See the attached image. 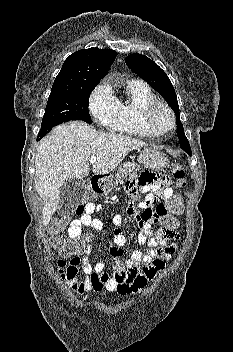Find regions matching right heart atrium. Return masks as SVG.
<instances>
[{"mask_svg":"<svg viewBox=\"0 0 233 352\" xmlns=\"http://www.w3.org/2000/svg\"><path fill=\"white\" fill-rule=\"evenodd\" d=\"M120 102L107 83L99 84L89 98V110L98 124L108 130L117 128Z\"/></svg>","mask_w":233,"mask_h":352,"instance_id":"obj_1","label":"right heart atrium"}]
</instances>
